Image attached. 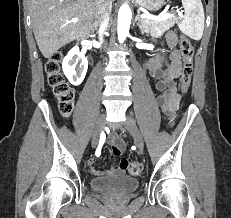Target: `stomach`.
Here are the masks:
<instances>
[{"label":"stomach","mask_w":231,"mask_h":218,"mask_svg":"<svg viewBox=\"0 0 231 218\" xmlns=\"http://www.w3.org/2000/svg\"><path fill=\"white\" fill-rule=\"evenodd\" d=\"M137 5L150 11L156 12L165 4V0H134Z\"/></svg>","instance_id":"1"}]
</instances>
